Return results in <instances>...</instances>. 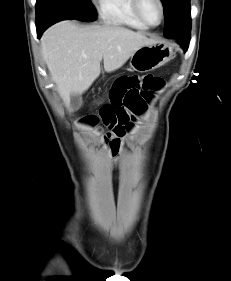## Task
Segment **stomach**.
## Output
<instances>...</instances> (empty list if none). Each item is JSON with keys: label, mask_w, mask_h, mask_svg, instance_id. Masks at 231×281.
Listing matches in <instances>:
<instances>
[{"label": "stomach", "mask_w": 231, "mask_h": 281, "mask_svg": "<svg viewBox=\"0 0 231 281\" xmlns=\"http://www.w3.org/2000/svg\"><path fill=\"white\" fill-rule=\"evenodd\" d=\"M173 55L174 51L170 43L161 41L145 45L132 54L130 66L140 73L149 72L166 64Z\"/></svg>", "instance_id": "stomach-1"}]
</instances>
